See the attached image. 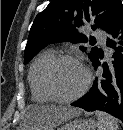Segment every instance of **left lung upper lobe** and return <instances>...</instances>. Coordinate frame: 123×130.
Listing matches in <instances>:
<instances>
[{
	"mask_svg": "<svg viewBox=\"0 0 123 130\" xmlns=\"http://www.w3.org/2000/svg\"><path fill=\"white\" fill-rule=\"evenodd\" d=\"M122 9L120 0H52L33 22L25 48L24 64L49 43L87 42V37L81 35L76 27L89 22L93 23V30L100 28L108 32L115 25ZM97 55L98 49L93 47L89 53L90 60Z\"/></svg>",
	"mask_w": 123,
	"mask_h": 130,
	"instance_id": "left-lung-upper-lobe-1",
	"label": "left lung upper lobe"
}]
</instances>
